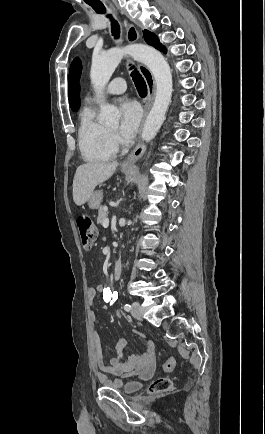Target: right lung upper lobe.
<instances>
[{"instance_id":"obj_1","label":"right lung upper lobe","mask_w":265,"mask_h":434,"mask_svg":"<svg viewBox=\"0 0 265 434\" xmlns=\"http://www.w3.org/2000/svg\"><path fill=\"white\" fill-rule=\"evenodd\" d=\"M82 64L79 58H75L71 64L69 71V102L72 107L80 105V76Z\"/></svg>"}]
</instances>
